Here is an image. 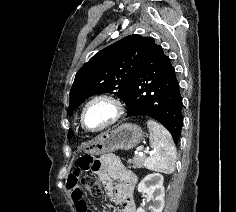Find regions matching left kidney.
I'll use <instances>...</instances> for the list:
<instances>
[{"label": "left kidney", "mask_w": 236, "mask_h": 212, "mask_svg": "<svg viewBox=\"0 0 236 212\" xmlns=\"http://www.w3.org/2000/svg\"><path fill=\"white\" fill-rule=\"evenodd\" d=\"M164 178L159 173L147 175L138 185V192L147 193L152 201L149 207L151 212H162L164 208L165 189L163 186ZM137 212H145L141 206Z\"/></svg>", "instance_id": "obj_1"}]
</instances>
